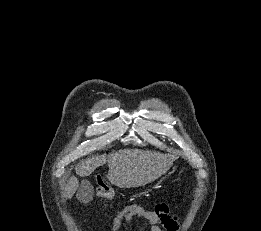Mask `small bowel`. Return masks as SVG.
Masks as SVG:
<instances>
[{
  "instance_id": "obj_1",
  "label": "small bowel",
  "mask_w": 261,
  "mask_h": 231,
  "mask_svg": "<svg viewBox=\"0 0 261 231\" xmlns=\"http://www.w3.org/2000/svg\"><path fill=\"white\" fill-rule=\"evenodd\" d=\"M135 217L146 220L150 225V231H162L160 224L165 231H178L179 229V219L171 212L168 205L160 204L150 209L145 204H137L114 220L111 231H117L123 224L131 227Z\"/></svg>"
}]
</instances>
